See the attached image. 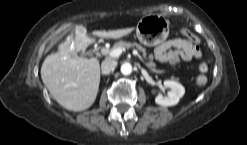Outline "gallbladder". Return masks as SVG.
I'll return each mask as SVG.
<instances>
[{"instance_id": "bac80fb5", "label": "gallbladder", "mask_w": 247, "mask_h": 145, "mask_svg": "<svg viewBox=\"0 0 247 145\" xmlns=\"http://www.w3.org/2000/svg\"><path fill=\"white\" fill-rule=\"evenodd\" d=\"M79 56H81V57H84L85 56V53H83V52H78L77 53Z\"/></svg>"}]
</instances>
